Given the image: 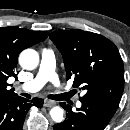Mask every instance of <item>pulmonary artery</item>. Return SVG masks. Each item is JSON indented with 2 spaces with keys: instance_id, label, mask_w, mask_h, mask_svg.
Returning <instances> with one entry per match:
<instances>
[{
  "instance_id": "e3ab8cb5",
  "label": "pulmonary artery",
  "mask_w": 130,
  "mask_h": 130,
  "mask_svg": "<svg viewBox=\"0 0 130 130\" xmlns=\"http://www.w3.org/2000/svg\"><path fill=\"white\" fill-rule=\"evenodd\" d=\"M55 54L52 49L44 48L41 51V63L36 76L30 81L22 85V89L27 92L39 91L48 81L54 85L59 86V78L55 72ZM77 105L81 103L78 101Z\"/></svg>"
}]
</instances>
